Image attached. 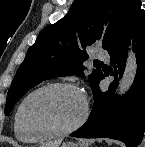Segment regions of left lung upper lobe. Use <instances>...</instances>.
I'll return each mask as SVG.
<instances>
[{
	"label": "left lung upper lobe",
	"instance_id": "5c2ea615",
	"mask_svg": "<svg viewBox=\"0 0 145 147\" xmlns=\"http://www.w3.org/2000/svg\"><path fill=\"white\" fill-rule=\"evenodd\" d=\"M130 1L75 0L64 18L43 29L16 72L7 94L5 115L22 95L42 81L81 75L88 58L85 48L100 41L103 49H108L120 31ZM102 74L94 69L89 75L92 89Z\"/></svg>",
	"mask_w": 145,
	"mask_h": 147
}]
</instances>
